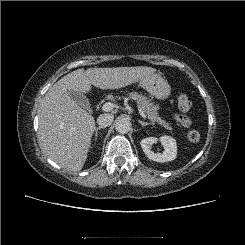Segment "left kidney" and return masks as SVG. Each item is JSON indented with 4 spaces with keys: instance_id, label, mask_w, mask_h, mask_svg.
I'll list each match as a JSON object with an SVG mask.
<instances>
[{
    "instance_id": "5707ae66",
    "label": "left kidney",
    "mask_w": 245,
    "mask_h": 245,
    "mask_svg": "<svg viewBox=\"0 0 245 245\" xmlns=\"http://www.w3.org/2000/svg\"><path fill=\"white\" fill-rule=\"evenodd\" d=\"M161 142L164 151L162 153H155L151 150L152 145ZM140 145L142 147L145 155L153 161L156 162H168L176 158L177 155V145L176 140L170 136H162L159 139L156 137H148L141 140Z\"/></svg>"
}]
</instances>
